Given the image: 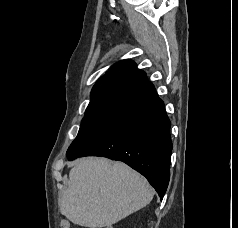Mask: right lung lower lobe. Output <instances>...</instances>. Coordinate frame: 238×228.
Masks as SVG:
<instances>
[{
    "label": "right lung lower lobe",
    "instance_id": "1",
    "mask_svg": "<svg viewBox=\"0 0 238 228\" xmlns=\"http://www.w3.org/2000/svg\"><path fill=\"white\" fill-rule=\"evenodd\" d=\"M171 151L170 121L163 101L156 98L123 114L67 157L123 161L145 176L162 199L170 178Z\"/></svg>",
    "mask_w": 238,
    "mask_h": 228
}]
</instances>
